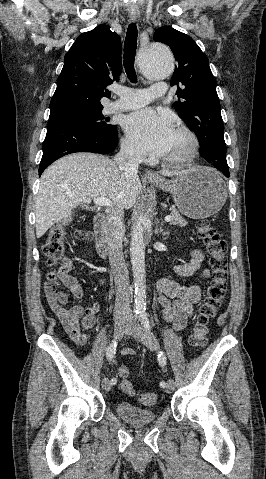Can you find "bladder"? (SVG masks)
<instances>
[{
  "label": "bladder",
  "instance_id": "obj_1",
  "mask_svg": "<svg viewBox=\"0 0 266 479\" xmlns=\"http://www.w3.org/2000/svg\"><path fill=\"white\" fill-rule=\"evenodd\" d=\"M116 412L123 421L130 424H148L157 419L156 411L135 406L127 401L118 402Z\"/></svg>",
  "mask_w": 266,
  "mask_h": 479
}]
</instances>
